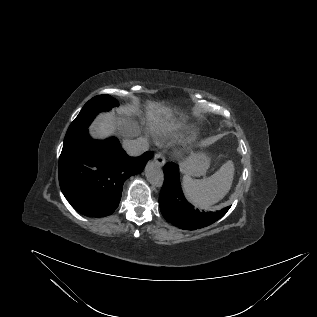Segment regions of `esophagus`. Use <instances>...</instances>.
Segmentation results:
<instances>
[{
    "instance_id": "1",
    "label": "esophagus",
    "mask_w": 317,
    "mask_h": 317,
    "mask_svg": "<svg viewBox=\"0 0 317 317\" xmlns=\"http://www.w3.org/2000/svg\"><path fill=\"white\" fill-rule=\"evenodd\" d=\"M154 161L159 165V166H164V164H165V156H164V154L163 153H156L155 155H154Z\"/></svg>"
}]
</instances>
